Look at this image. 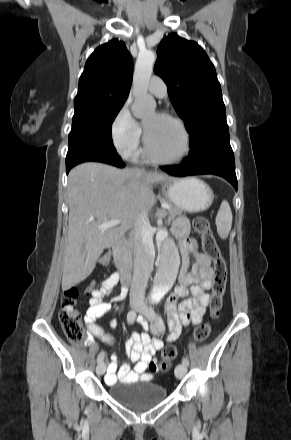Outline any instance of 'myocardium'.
Listing matches in <instances>:
<instances>
[{
    "mask_svg": "<svg viewBox=\"0 0 291 440\" xmlns=\"http://www.w3.org/2000/svg\"><path fill=\"white\" fill-rule=\"evenodd\" d=\"M159 115L174 121L179 126V128L181 129V131H182V133L184 135L185 150H184L183 154L179 158H177V159H165V158L161 157L155 151V149L152 147V145H151V143L149 141L147 132H146L145 127H144V143H145L146 153H147V155L153 161H155L157 163L165 164V165L179 164L182 161H184L189 156V154L191 152V135H190V132H189L188 128L186 127L184 121L180 117H178V116H176L174 114L168 113V112H161V113H159Z\"/></svg>",
    "mask_w": 291,
    "mask_h": 440,
    "instance_id": "myocardium-1",
    "label": "myocardium"
}]
</instances>
